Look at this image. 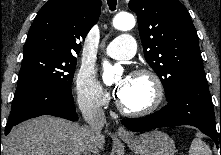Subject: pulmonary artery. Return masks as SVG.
Instances as JSON below:
<instances>
[{
  "mask_svg": "<svg viewBox=\"0 0 221 155\" xmlns=\"http://www.w3.org/2000/svg\"><path fill=\"white\" fill-rule=\"evenodd\" d=\"M135 40L129 34L116 37L106 48V54L117 60H126L135 53Z\"/></svg>",
  "mask_w": 221,
  "mask_h": 155,
  "instance_id": "1",
  "label": "pulmonary artery"
}]
</instances>
